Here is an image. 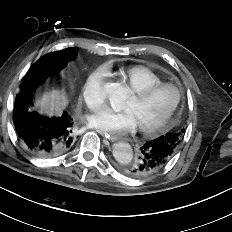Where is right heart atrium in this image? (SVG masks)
Returning a JSON list of instances; mask_svg holds the SVG:
<instances>
[{"label":"right heart atrium","mask_w":232,"mask_h":232,"mask_svg":"<svg viewBox=\"0 0 232 232\" xmlns=\"http://www.w3.org/2000/svg\"><path fill=\"white\" fill-rule=\"evenodd\" d=\"M105 67L95 69L87 77L83 88L82 98L91 109L99 108L105 99L104 81L106 78Z\"/></svg>","instance_id":"right-heart-atrium-1"}]
</instances>
